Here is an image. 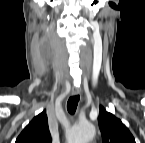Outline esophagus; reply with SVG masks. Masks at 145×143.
Returning a JSON list of instances; mask_svg holds the SVG:
<instances>
[{
    "instance_id": "34e87169",
    "label": "esophagus",
    "mask_w": 145,
    "mask_h": 143,
    "mask_svg": "<svg viewBox=\"0 0 145 143\" xmlns=\"http://www.w3.org/2000/svg\"><path fill=\"white\" fill-rule=\"evenodd\" d=\"M71 93H72V95H78L80 93V89L76 86H73Z\"/></svg>"
}]
</instances>
